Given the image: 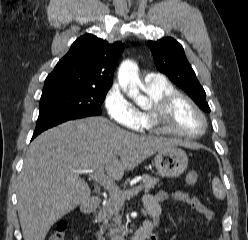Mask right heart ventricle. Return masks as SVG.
<instances>
[{
    "instance_id": "obj_1",
    "label": "right heart ventricle",
    "mask_w": 248,
    "mask_h": 240,
    "mask_svg": "<svg viewBox=\"0 0 248 240\" xmlns=\"http://www.w3.org/2000/svg\"><path fill=\"white\" fill-rule=\"evenodd\" d=\"M143 90L152 102L159 100L170 92L176 91L173 84L164 78L155 81H145ZM138 113L140 115L141 127L150 129L149 110L138 111Z\"/></svg>"
}]
</instances>
